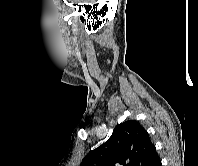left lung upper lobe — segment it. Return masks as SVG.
<instances>
[{
    "mask_svg": "<svg viewBox=\"0 0 198 166\" xmlns=\"http://www.w3.org/2000/svg\"><path fill=\"white\" fill-rule=\"evenodd\" d=\"M147 131L135 120L119 124L80 166H148L156 154Z\"/></svg>",
    "mask_w": 198,
    "mask_h": 166,
    "instance_id": "5c2ea615",
    "label": "left lung upper lobe"
}]
</instances>
